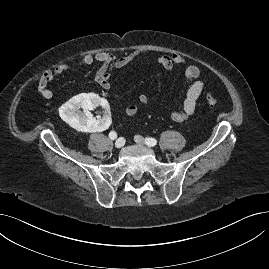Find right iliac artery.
Segmentation results:
<instances>
[{"mask_svg": "<svg viewBox=\"0 0 269 269\" xmlns=\"http://www.w3.org/2000/svg\"><path fill=\"white\" fill-rule=\"evenodd\" d=\"M109 138L112 139V140L116 139L117 138V133L115 131H111L109 133Z\"/></svg>", "mask_w": 269, "mask_h": 269, "instance_id": "obj_1", "label": "right iliac artery"}]
</instances>
